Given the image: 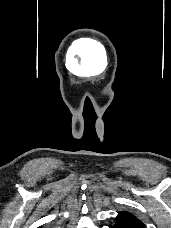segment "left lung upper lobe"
Listing matches in <instances>:
<instances>
[{"mask_svg":"<svg viewBox=\"0 0 171 228\" xmlns=\"http://www.w3.org/2000/svg\"><path fill=\"white\" fill-rule=\"evenodd\" d=\"M125 218L138 219L134 214H132L128 211H122V212H119L116 220H121V219H125Z\"/></svg>","mask_w":171,"mask_h":228,"instance_id":"left-lung-upper-lobe-1","label":"left lung upper lobe"}]
</instances>
